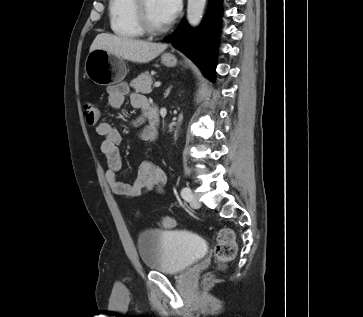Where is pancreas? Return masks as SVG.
<instances>
[{"mask_svg":"<svg viewBox=\"0 0 363 317\" xmlns=\"http://www.w3.org/2000/svg\"><path fill=\"white\" fill-rule=\"evenodd\" d=\"M153 79L148 72L140 74L137 78L130 82V86L135 89L136 92L148 94L152 92Z\"/></svg>","mask_w":363,"mask_h":317,"instance_id":"pancreas-1","label":"pancreas"}]
</instances>
